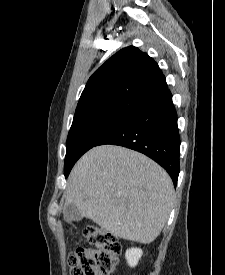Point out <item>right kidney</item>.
<instances>
[{"instance_id": "ca27d5eb", "label": "right kidney", "mask_w": 225, "mask_h": 275, "mask_svg": "<svg viewBox=\"0 0 225 275\" xmlns=\"http://www.w3.org/2000/svg\"><path fill=\"white\" fill-rule=\"evenodd\" d=\"M143 251L140 248H130L125 253V258L130 267H135L141 258Z\"/></svg>"}]
</instances>
